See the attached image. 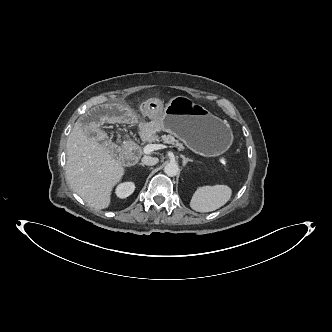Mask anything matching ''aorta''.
<instances>
[{
	"mask_svg": "<svg viewBox=\"0 0 332 332\" xmlns=\"http://www.w3.org/2000/svg\"><path fill=\"white\" fill-rule=\"evenodd\" d=\"M167 176L174 177L179 173V166L174 162H169L164 167Z\"/></svg>",
	"mask_w": 332,
	"mask_h": 332,
	"instance_id": "obj_1",
	"label": "aorta"
}]
</instances>
